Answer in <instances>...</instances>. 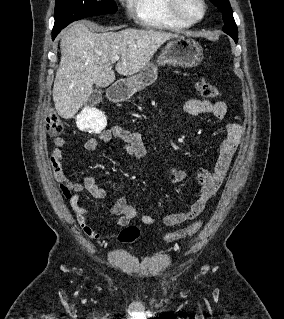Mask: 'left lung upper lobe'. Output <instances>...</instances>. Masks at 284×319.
<instances>
[{
	"mask_svg": "<svg viewBox=\"0 0 284 319\" xmlns=\"http://www.w3.org/2000/svg\"><path fill=\"white\" fill-rule=\"evenodd\" d=\"M223 14V31L234 40H238V30L233 18L232 9L228 0H210Z\"/></svg>",
	"mask_w": 284,
	"mask_h": 319,
	"instance_id": "5c2ea615",
	"label": "left lung upper lobe"
}]
</instances>
